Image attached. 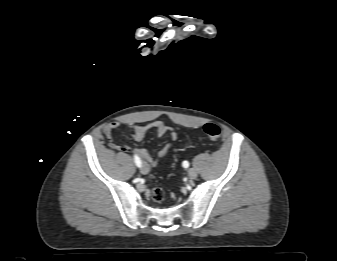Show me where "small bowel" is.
Returning a JSON list of instances; mask_svg holds the SVG:
<instances>
[{
	"instance_id": "c3829d8e",
	"label": "small bowel",
	"mask_w": 337,
	"mask_h": 261,
	"mask_svg": "<svg viewBox=\"0 0 337 261\" xmlns=\"http://www.w3.org/2000/svg\"><path fill=\"white\" fill-rule=\"evenodd\" d=\"M119 122L113 121L103 127V133L110 140V147L117 151H127L129 146L125 143L117 142L113 137V131L119 128ZM150 130H155L158 135L169 134L172 142L178 138L177 132L169 125L162 121H152L145 125L129 126L128 133L135 141H142ZM173 148V143L166 144L155 157H152L145 149H134L135 155L141 157L148 165L156 166L163 158H165Z\"/></svg>"
}]
</instances>
